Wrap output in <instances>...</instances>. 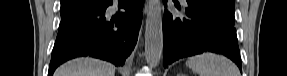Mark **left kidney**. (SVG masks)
<instances>
[{
    "label": "left kidney",
    "instance_id": "1",
    "mask_svg": "<svg viewBox=\"0 0 287 76\" xmlns=\"http://www.w3.org/2000/svg\"><path fill=\"white\" fill-rule=\"evenodd\" d=\"M179 76H185L184 74H179Z\"/></svg>",
    "mask_w": 287,
    "mask_h": 76
}]
</instances>
